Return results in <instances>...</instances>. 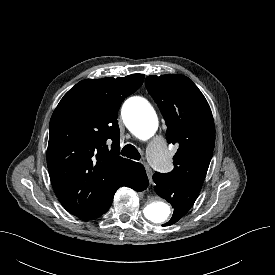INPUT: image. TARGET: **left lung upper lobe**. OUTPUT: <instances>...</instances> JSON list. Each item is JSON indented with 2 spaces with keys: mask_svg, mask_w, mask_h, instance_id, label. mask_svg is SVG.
Here are the masks:
<instances>
[{
  "mask_svg": "<svg viewBox=\"0 0 275 275\" xmlns=\"http://www.w3.org/2000/svg\"><path fill=\"white\" fill-rule=\"evenodd\" d=\"M145 84L165 119L168 143L179 146L173 157L174 169L167 175L201 188L215 142L214 120L207 100L183 75H152Z\"/></svg>",
  "mask_w": 275,
  "mask_h": 275,
  "instance_id": "1",
  "label": "left lung upper lobe"
}]
</instances>
